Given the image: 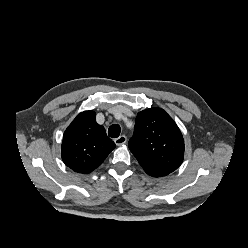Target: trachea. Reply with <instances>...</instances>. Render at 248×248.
Returning <instances> with one entry per match:
<instances>
[{"mask_svg":"<svg viewBox=\"0 0 248 248\" xmlns=\"http://www.w3.org/2000/svg\"><path fill=\"white\" fill-rule=\"evenodd\" d=\"M121 128L119 125H111L108 129V135L112 138H117L120 135Z\"/></svg>","mask_w":248,"mask_h":248,"instance_id":"1","label":"trachea"}]
</instances>
